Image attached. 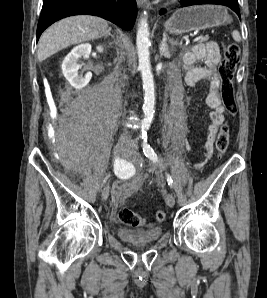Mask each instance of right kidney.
I'll use <instances>...</instances> for the list:
<instances>
[{
    "instance_id": "obj_1",
    "label": "right kidney",
    "mask_w": 267,
    "mask_h": 298,
    "mask_svg": "<svg viewBox=\"0 0 267 298\" xmlns=\"http://www.w3.org/2000/svg\"><path fill=\"white\" fill-rule=\"evenodd\" d=\"M98 52H103V47H97ZM91 53V45L89 43L80 44L74 47L70 53L64 58L62 63V72L64 77L75 89H82L92 78V73L88 72L85 76L78 75V70L81 68L79 59L81 57H89Z\"/></svg>"
}]
</instances>
